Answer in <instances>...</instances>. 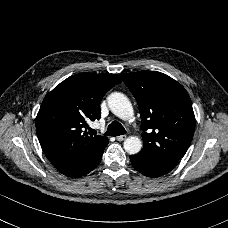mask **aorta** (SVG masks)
<instances>
[{"mask_svg":"<svg viewBox=\"0 0 228 228\" xmlns=\"http://www.w3.org/2000/svg\"><path fill=\"white\" fill-rule=\"evenodd\" d=\"M107 105L111 112L122 119H130L133 108L128 97L121 92H113L107 97ZM124 150L130 155L138 154L142 148V142L138 137H128L123 143Z\"/></svg>","mask_w":228,"mask_h":228,"instance_id":"1","label":"aorta"}]
</instances>
